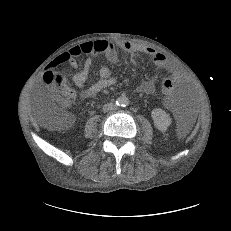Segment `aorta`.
<instances>
[{
  "label": "aorta",
  "mask_w": 231,
  "mask_h": 231,
  "mask_svg": "<svg viewBox=\"0 0 231 231\" xmlns=\"http://www.w3.org/2000/svg\"><path fill=\"white\" fill-rule=\"evenodd\" d=\"M117 104L120 105V106H126L129 104V99L126 97V96H120L118 99H117Z\"/></svg>",
  "instance_id": "obj_1"
}]
</instances>
